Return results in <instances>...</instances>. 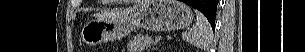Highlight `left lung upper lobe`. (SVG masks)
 <instances>
[{
  "instance_id": "1",
  "label": "left lung upper lobe",
  "mask_w": 305,
  "mask_h": 52,
  "mask_svg": "<svg viewBox=\"0 0 305 52\" xmlns=\"http://www.w3.org/2000/svg\"><path fill=\"white\" fill-rule=\"evenodd\" d=\"M216 10H206L204 11V15L207 17L208 21L211 25L215 24V16H216Z\"/></svg>"
}]
</instances>
